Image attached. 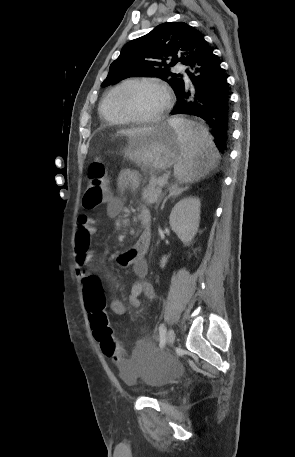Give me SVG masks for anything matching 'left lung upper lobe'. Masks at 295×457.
Returning a JSON list of instances; mask_svg holds the SVG:
<instances>
[{"mask_svg": "<svg viewBox=\"0 0 295 457\" xmlns=\"http://www.w3.org/2000/svg\"><path fill=\"white\" fill-rule=\"evenodd\" d=\"M203 40L200 31L184 22L160 24L148 34L124 45L101 86L129 77H157L166 81L176 94L184 81L170 68L177 62L187 65Z\"/></svg>", "mask_w": 295, "mask_h": 457, "instance_id": "5c2ea615", "label": "left lung upper lobe"}]
</instances>
